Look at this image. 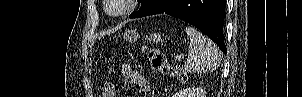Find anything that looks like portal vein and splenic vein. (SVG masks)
<instances>
[{
    "label": "portal vein and splenic vein",
    "mask_w": 302,
    "mask_h": 97,
    "mask_svg": "<svg viewBox=\"0 0 302 97\" xmlns=\"http://www.w3.org/2000/svg\"><path fill=\"white\" fill-rule=\"evenodd\" d=\"M175 60H176V61H181V60H182V57L177 55V56L175 57Z\"/></svg>",
    "instance_id": "1"
}]
</instances>
